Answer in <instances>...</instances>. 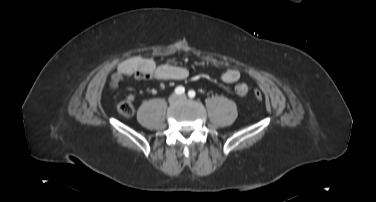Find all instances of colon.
Returning <instances> with one entry per match:
<instances>
[{
	"instance_id": "1",
	"label": "colon",
	"mask_w": 376,
	"mask_h": 202,
	"mask_svg": "<svg viewBox=\"0 0 376 202\" xmlns=\"http://www.w3.org/2000/svg\"><path fill=\"white\" fill-rule=\"evenodd\" d=\"M255 97L258 100H261L263 98V95L260 91H256ZM133 102H134V99L131 96H128L125 100L121 101L117 106L119 113L127 117L132 116L134 114Z\"/></svg>"
}]
</instances>
